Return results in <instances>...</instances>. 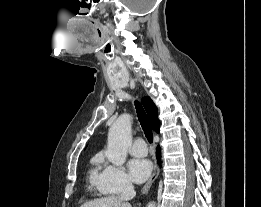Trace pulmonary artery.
<instances>
[{
  "label": "pulmonary artery",
  "mask_w": 261,
  "mask_h": 207,
  "mask_svg": "<svg viewBox=\"0 0 261 207\" xmlns=\"http://www.w3.org/2000/svg\"><path fill=\"white\" fill-rule=\"evenodd\" d=\"M130 154L136 157H143L147 154V147L145 141L138 137L134 140L129 150Z\"/></svg>",
  "instance_id": "obj_1"
}]
</instances>
